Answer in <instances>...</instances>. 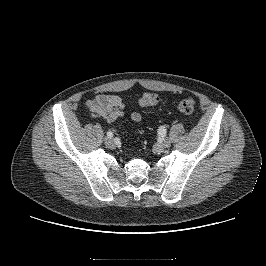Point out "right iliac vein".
<instances>
[{"label": "right iliac vein", "mask_w": 266, "mask_h": 266, "mask_svg": "<svg viewBox=\"0 0 266 266\" xmlns=\"http://www.w3.org/2000/svg\"><path fill=\"white\" fill-rule=\"evenodd\" d=\"M105 145L108 147V148H114L115 147V142H114V140H112V139H108V138H106L105 139Z\"/></svg>", "instance_id": "1"}]
</instances>
